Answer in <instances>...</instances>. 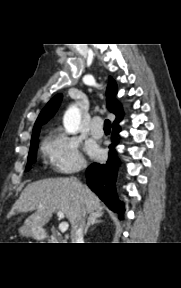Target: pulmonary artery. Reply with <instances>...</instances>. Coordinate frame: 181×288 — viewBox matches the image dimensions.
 I'll use <instances>...</instances> for the list:
<instances>
[{
  "label": "pulmonary artery",
  "mask_w": 181,
  "mask_h": 288,
  "mask_svg": "<svg viewBox=\"0 0 181 288\" xmlns=\"http://www.w3.org/2000/svg\"><path fill=\"white\" fill-rule=\"evenodd\" d=\"M90 133L95 138H100L103 135V128L101 124V119L99 117H94L90 125Z\"/></svg>",
  "instance_id": "pulmonary-artery-1"
}]
</instances>
